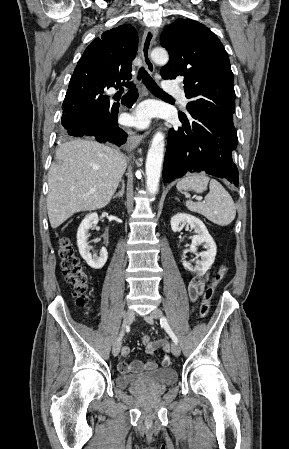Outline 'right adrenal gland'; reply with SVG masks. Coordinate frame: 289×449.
<instances>
[{
  "mask_svg": "<svg viewBox=\"0 0 289 449\" xmlns=\"http://www.w3.org/2000/svg\"><path fill=\"white\" fill-rule=\"evenodd\" d=\"M124 193H125V184L123 181H121V190L113 196V199L123 197Z\"/></svg>",
  "mask_w": 289,
  "mask_h": 449,
  "instance_id": "1",
  "label": "right adrenal gland"
}]
</instances>
